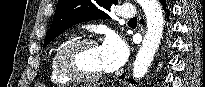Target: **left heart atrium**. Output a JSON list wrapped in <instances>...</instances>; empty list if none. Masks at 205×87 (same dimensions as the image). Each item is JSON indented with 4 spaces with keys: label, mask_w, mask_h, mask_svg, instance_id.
I'll use <instances>...</instances> for the list:
<instances>
[{
    "label": "left heart atrium",
    "mask_w": 205,
    "mask_h": 87,
    "mask_svg": "<svg viewBox=\"0 0 205 87\" xmlns=\"http://www.w3.org/2000/svg\"><path fill=\"white\" fill-rule=\"evenodd\" d=\"M99 48L104 69L115 71L126 61L127 47L123 40L114 34L108 35Z\"/></svg>",
    "instance_id": "1"
}]
</instances>
